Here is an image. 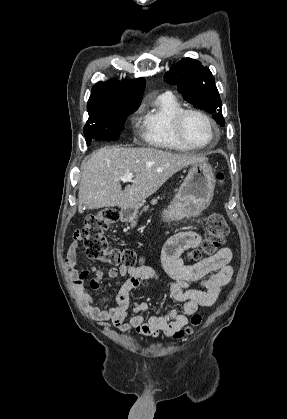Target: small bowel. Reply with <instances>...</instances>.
<instances>
[{"instance_id": "c3829d8e", "label": "small bowel", "mask_w": 287, "mask_h": 419, "mask_svg": "<svg viewBox=\"0 0 287 419\" xmlns=\"http://www.w3.org/2000/svg\"><path fill=\"white\" fill-rule=\"evenodd\" d=\"M79 232L73 234V242L69 246L65 264L72 277L74 288L80 297L88 315L101 325L116 327L120 332L136 331L146 337H156L160 332L171 336L179 331L188 318L194 314L198 306L212 305L221 288L228 284L232 278L233 269L230 266L232 252L229 247H224L213 256L197 264L185 265L181 259L182 253L198 247L202 236L195 231H182L171 236L162 250V262L166 273L172 278L168 283L169 295L182 305L171 310L167 315H154L146 319L142 313L148 309L146 302H132L130 293L141 284L149 280H161L159 273L148 267H111L108 275L112 278L127 277L116 295V304L100 307L85 286V281L90 274L89 286L98 289L102 280V272L96 268L76 269L80 258ZM200 281L202 288H193L192 282ZM130 311L133 315L126 322Z\"/></svg>"}]
</instances>
